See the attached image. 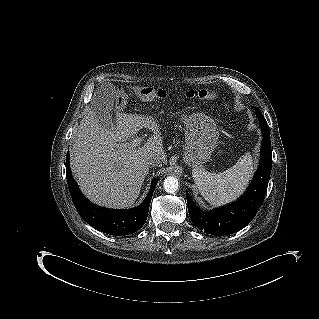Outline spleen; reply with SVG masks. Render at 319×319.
Instances as JSON below:
<instances>
[{
  "instance_id": "1",
  "label": "spleen",
  "mask_w": 319,
  "mask_h": 319,
  "mask_svg": "<svg viewBox=\"0 0 319 319\" xmlns=\"http://www.w3.org/2000/svg\"><path fill=\"white\" fill-rule=\"evenodd\" d=\"M250 153L242 155L236 164L219 173L195 168L192 176L199 192L207 202L220 206L235 200L243 192L253 173Z\"/></svg>"
}]
</instances>
